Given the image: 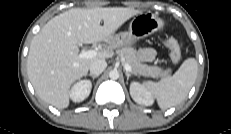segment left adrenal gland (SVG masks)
Here are the masks:
<instances>
[{
    "instance_id": "obj_1",
    "label": "left adrenal gland",
    "mask_w": 231,
    "mask_h": 134,
    "mask_svg": "<svg viewBox=\"0 0 231 134\" xmlns=\"http://www.w3.org/2000/svg\"><path fill=\"white\" fill-rule=\"evenodd\" d=\"M125 75H126V77H127V82H128L129 77H130L132 74H131V73H129L128 71H125Z\"/></svg>"
}]
</instances>
